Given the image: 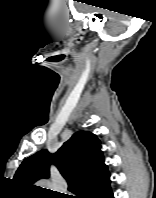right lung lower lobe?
I'll use <instances>...</instances> for the list:
<instances>
[{
	"instance_id": "right-lung-lower-lobe-1",
	"label": "right lung lower lobe",
	"mask_w": 156,
	"mask_h": 198,
	"mask_svg": "<svg viewBox=\"0 0 156 198\" xmlns=\"http://www.w3.org/2000/svg\"><path fill=\"white\" fill-rule=\"evenodd\" d=\"M97 198H114L110 188L102 192Z\"/></svg>"
}]
</instances>
